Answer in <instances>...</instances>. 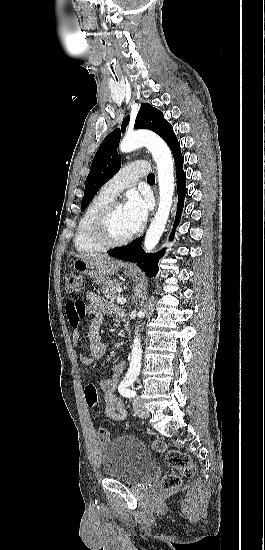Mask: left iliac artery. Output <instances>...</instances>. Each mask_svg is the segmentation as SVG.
<instances>
[{
	"mask_svg": "<svg viewBox=\"0 0 265 550\" xmlns=\"http://www.w3.org/2000/svg\"><path fill=\"white\" fill-rule=\"evenodd\" d=\"M133 382L134 379H126L122 381L118 388L119 393L127 398L134 397L136 395V392L129 389V386L132 385Z\"/></svg>",
	"mask_w": 265,
	"mask_h": 550,
	"instance_id": "left-iliac-artery-1",
	"label": "left iliac artery"
}]
</instances>
